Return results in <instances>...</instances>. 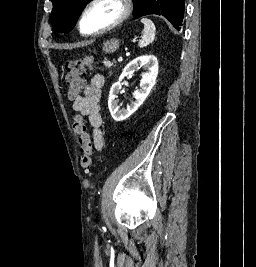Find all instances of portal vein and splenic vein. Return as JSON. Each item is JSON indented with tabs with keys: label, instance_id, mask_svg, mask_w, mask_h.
<instances>
[{
	"label": "portal vein and splenic vein",
	"instance_id": "portal-vein-and-splenic-vein-1",
	"mask_svg": "<svg viewBox=\"0 0 256 267\" xmlns=\"http://www.w3.org/2000/svg\"><path fill=\"white\" fill-rule=\"evenodd\" d=\"M124 59H125V56H124V55H120V56H119L118 63H119V64H123V63H124Z\"/></svg>",
	"mask_w": 256,
	"mask_h": 267
}]
</instances>
